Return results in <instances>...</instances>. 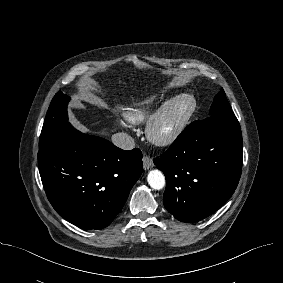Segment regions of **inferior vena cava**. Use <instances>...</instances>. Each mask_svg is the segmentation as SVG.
I'll list each match as a JSON object with an SVG mask.
<instances>
[{"label":"inferior vena cava","mask_w":283,"mask_h":283,"mask_svg":"<svg viewBox=\"0 0 283 283\" xmlns=\"http://www.w3.org/2000/svg\"><path fill=\"white\" fill-rule=\"evenodd\" d=\"M112 142L114 145L123 150H132L135 148L134 139L124 132L112 135Z\"/></svg>","instance_id":"1"}]
</instances>
